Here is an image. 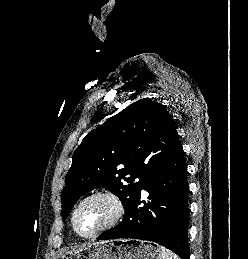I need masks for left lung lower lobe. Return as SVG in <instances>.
I'll list each match as a JSON object with an SVG mask.
<instances>
[{
	"mask_svg": "<svg viewBox=\"0 0 248 259\" xmlns=\"http://www.w3.org/2000/svg\"><path fill=\"white\" fill-rule=\"evenodd\" d=\"M142 189L149 193L150 201H140L139 192L122 222L97 239L148 240L170 249L182 259H189V187L182 146L153 171Z\"/></svg>",
	"mask_w": 248,
	"mask_h": 259,
	"instance_id": "1",
	"label": "left lung lower lobe"
}]
</instances>
